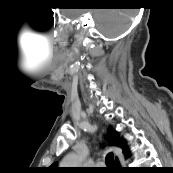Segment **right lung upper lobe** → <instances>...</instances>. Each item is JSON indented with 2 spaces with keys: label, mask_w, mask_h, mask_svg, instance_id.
Instances as JSON below:
<instances>
[{
  "label": "right lung upper lobe",
  "mask_w": 173,
  "mask_h": 173,
  "mask_svg": "<svg viewBox=\"0 0 173 173\" xmlns=\"http://www.w3.org/2000/svg\"><path fill=\"white\" fill-rule=\"evenodd\" d=\"M108 143L109 145H116L120 146L123 149V153L127 154L129 152V149L126 146V141L124 139H118V133L115 132L112 128H110L108 135ZM51 170H57L56 164H53L50 167Z\"/></svg>",
  "instance_id": "obj_1"
}]
</instances>
